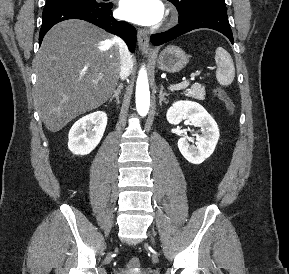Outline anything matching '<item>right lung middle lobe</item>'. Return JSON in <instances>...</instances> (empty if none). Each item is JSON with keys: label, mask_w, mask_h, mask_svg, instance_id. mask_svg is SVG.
<instances>
[{"label": "right lung middle lobe", "mask_w": 289, "mask_h": 274, "mask_svg": "<svg viewBox=\"0 0 289 274\" xmlns=\"http://www.w3.org/2000/svg\"><path fill=\"white\" fill-rule=\"evenodd\" d=\"M83 2L97 3L95 0H46L45 7L62 3H83Z\"/></svg>", "instance_id": "right-lung-middle-lobe-1"}]
</instances>
